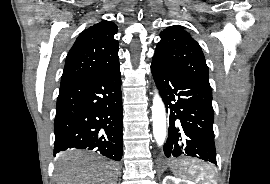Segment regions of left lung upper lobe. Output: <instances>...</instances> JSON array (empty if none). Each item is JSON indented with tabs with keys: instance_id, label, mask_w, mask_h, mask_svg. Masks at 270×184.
Listing matches in <instances>:
<instances>
[{
	"instance_id": "obj_1",
	"label": "left lung upper lobe",
	"mask_w": 270,
	"mask_h": 184,
	"mask_svg": "<svg viewBox=\"0 0 270 184\" xmlns=\"http://www.w3.org/2000/svg\"><path fill=\"white\" fill-rule=\"evenodd\" d=\"M157 44L155 57L179 66L211 89L203 52L199 44L183 27L174 25L163 30Z\"/></svg>"
}]
</instances>
